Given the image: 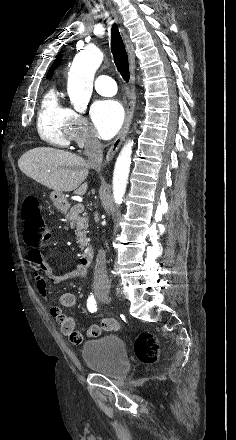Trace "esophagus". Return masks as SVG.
Returning a JSON list of instances; mask_svg holds the SVG:
<instances>
[{
  "instance_id": "34e87169",
  "label": "esophagus",
  "mask_w": 236,
  "mask_h": 440,
  "mask_svg": "<svg viewBox=\"0 0 236 440\" xmlns=\"http://www.w3.org/2000/svg\"><path fill=\"white\" fill-rule=\"evenodd\" d=\"M120 31L125 39L126 48H127L128 57H129V64H130V85H131L130 101H129V104L126 109V116H125L124 125H123L121 131L119 132L117 138L111 144V146L107 152L104 164L108 163L113 158L114 154L117 152L121 143L125 139L127 132L129 130L131 121H132V117H133L134 109H135V103H136L134 48H133V45H132L131 41L129 40L127 34L125 33V30L123 28H121Z\"/></svg>"
}]
</instances>
